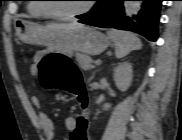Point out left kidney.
I'll use <instances>...</instances> for the list:
<instances>
[{
    "instance_id": "1",
    "label": "left kidney",
    "mask_w": 182,
    "mask_h": 140,
    "mask_svg": "<svg viewBox=\"0 0 182 140\" xmlns=\"http://www.w3.org/2000/svg\"><path fill=\"white\" fill-rule=\"evenodd\" d=\"M113 77L117 88L123 92L127 91L133 79V70L131 63H119L118 66L114 69ZM110 107L111 104L109 103H105L103 105L104 110H108Z\"/></svg>"
}]
</instances>
